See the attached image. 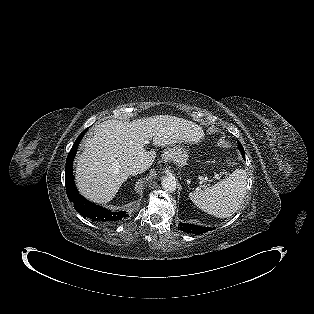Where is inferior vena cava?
<instances>
[{"mask_svg": "<svg viewBox=\"0 0 314 314\" xmlns=\"http://www.w3.org/2000/svg\"><path fill=\"white\" fill-rule=\"evenodd\" d=\"M143 171H144L143 166L139 164H130L126 169L128 175H137L138 173H141Z\"/></svg>", "mask_w": 314, "mask_h": 314, "instance_id": "inferior-vena-cava-1", "label": "inferior vena cava"}]
</instances>
